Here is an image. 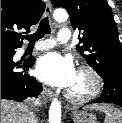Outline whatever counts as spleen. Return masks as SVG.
<instances>
[{
	"instance_id": "1",
	"label": "spleen",
	"mask_w": 122,
	"mask_h": 123,
	"mask_svg": "<svg viewBox=\"0 0 122 123\" xmlns=\"http://www.w3.org/2000/svg\"><path fill=\"white\" fill-rule=\"evenodd\" d=\"M89 110L104 112L106 117L104 123H122V112L109 104H95L87 107Z\"/></svg>"
}]
</instances>
